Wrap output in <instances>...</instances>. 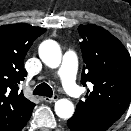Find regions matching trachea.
<instances>
[{
  "label": "trachea",
  "mask_w": 131,
  "mask_h": 131,
  "mask_svg": "<svg viewBox=\"0 0 131 131\" xmlns=\"http://www.w3.org/2000/svg\"><path fill=\"white\" fill-rule=\"evenodd\" d=\"M33 94L52 97L53 91L47 83H41L33 90Z\"/></svg>",
  "instance_id": "1"
}]
</instances>
